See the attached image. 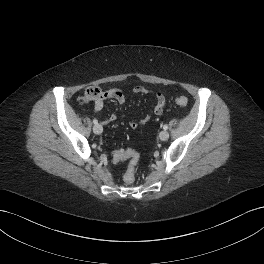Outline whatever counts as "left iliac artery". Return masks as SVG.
I'll use <instances>...</instances> for the list:
<instances>
[{"label":"left iliac artery","mask_w":264,"mask_h":264,"mask_svg":"<svg viewBox=\"0 0 264 264\" xmlns=\"http://www.w3.org/2000/svg\"><path fill=\"white\" fill-rule=\"evenodd\" d=\"M163 129H164V130H167V129H168V126H167V125H164V126H163Z\"/></svg>","instance_id":"left-iliac-artery-1"}]
</instances>
